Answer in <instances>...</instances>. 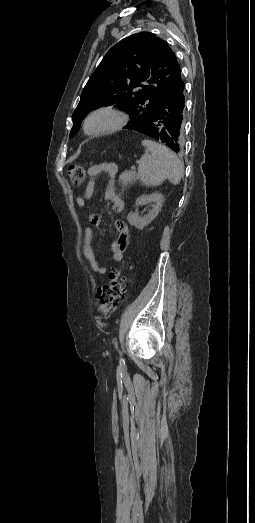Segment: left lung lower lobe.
<instances>
[{"mask_svg":"<svg viewBox=\"0 0 255 523\" xmlns=\"http://www.w3.org/2000/svg\"><path fill=\"white\" fill-rule=\"evenodd\" d=\"M184 82L176 85L171 92L165 94V99L159 109H154L155 115H150L149 121L144 125L136 127L141 131V135L146 134L148 137H155L160 140V145L164 148L170 147L172 151L177 152L181 148L183 137V116L184 107L187 99L183 96Z\"/></svg>","mask_w":255,"mask_h":523,"instance_id":"obj_1","label":"left lung lower lobe"}]
</instances>
